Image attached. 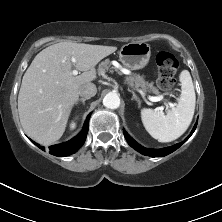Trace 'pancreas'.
I'll return each instance as SVG.
<instances>
[{"label":"pancreas","mask_w":222,"mask_h":222,"mask_svg":"<svg viewBox=\"0 0 222 222\" xmlns=\"http://www.w3.org/2000/svg\"><path fill=\"white\" fill-rule=\"evenodd\" d=\"M109 69H115V71L120 73L117 68L111 67V62L109 59H106L99 64L98 72L101 75V74H104ZM126 81L131 86L135 85L136 87H141V89L144 92H152L156 95H158L160 93L159 90L155 86H153L152 82L148 83L141 77L129 76L126 78Z\"/></svg>","instance_id":"cf45deb5"}]
</instances>
